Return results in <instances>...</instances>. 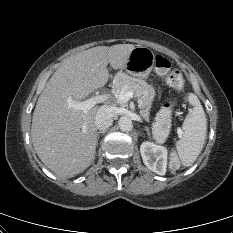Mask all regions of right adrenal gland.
Wrapping results in <instances>:
<instances>
[{
	"label": "right adrenal gland",
	"instance_id": "obj_1",
	"mask_svg": "<svg viewBox=\"0 0 233 233\" xmlns=\"http://www.w3.org/2000/svg\"><path fill=\"white\" fill-rule=\"evenodd\" d=\"M105 132L106 130H100L99 132H97V140L99 139V135L104 134Z\"/></svg>",
	"mask_w": 233,
	"mask_h": 233
}]
</instances>
